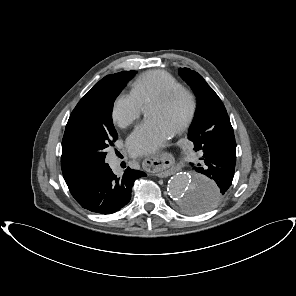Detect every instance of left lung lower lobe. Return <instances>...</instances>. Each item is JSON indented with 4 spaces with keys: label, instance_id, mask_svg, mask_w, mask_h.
Returning <instances> with one entry per match:
<instances>
[{
    "label": "left lung lower lobe",
    "instance_id": "obj_1",
    "mask_svg": "<svg viewBox=\"0 0 296 296\" xmlns=\"http://www.w3.org/2000/svg\"><path fill=\"white\" fill-rule=\"evenodd\" d=\"M202 164L195 171L197 176L214 180L218 186L215 193L193 200L194 212H202L216 204L228 191L234 177L236 142L229 117L204 133Z\"/></svg>",
    "mask_w": 296,
    "mask_h": 296
}]
</instances>
